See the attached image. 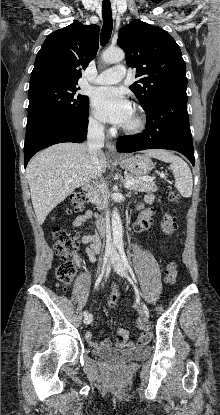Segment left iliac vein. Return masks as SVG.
Masks as SVG:
<instances>
[{"label": "left iliac vein", "instance_id": "left-iliac-vein-1", "mask_svg": "<svg viewBox=\"0 0 220 415\" xmlns=\"http://www.w3.org/2000/svg\"><path fill=\"white\" fill-rule=\"evenodd\" d=\"M112 264H113V267H114V269H115V271L121 276V277H123V278H126V279H128V280H130V278H129V274H128V271H127V269L124 267V265H123V263H122V260H121V258H120V256H119V254L117 253V251H113V253H112ZM139 301H140V304H141V306H142V308H143V312H145V311H147L148 310V308H147V306L145 305V303L139 298ZM144 315H145V318L147 319L149 316H146V314L144 313Z\"/></svg>", "mask_w": 220, "mask_h": 415}]
</instances>
